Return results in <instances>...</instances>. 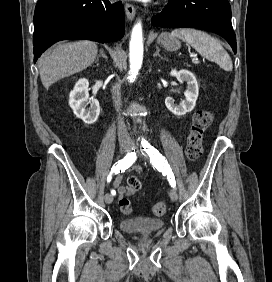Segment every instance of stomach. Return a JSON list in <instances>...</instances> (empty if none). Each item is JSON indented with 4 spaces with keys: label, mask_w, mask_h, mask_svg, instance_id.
Segmentation results:
<instances>
[{
    "label": "stomach",
    "mask_w": 272,
    "mask_h": 282,
    "mask_svg": "<svg viewBox=\"0 0 272 282\" xmlns=\"http://www.w3.org/2000/svg\"><path fill=\"white\" fill-rule=\"evenodd\" d=\"M157 41L169 51H176L181 47V42L177 38L172 37L169 33L160 34Z\"/></svg>",
    "instance_id": "0dacf381"
}]
</instances>
